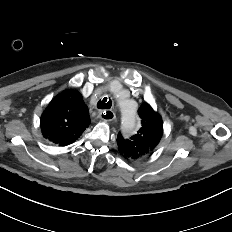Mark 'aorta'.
Wrapping results in <instances>:
<instances>
[{
    "label": "aorta",
    "instance_id": "1",
    "mask_svg": "<svg viewBox=\"0 0 232 232\" xmlns=\"http://www.w3.org/2000/svg\"><path fill=\"white\" fill-rule=\"evenodd\" d=\"M114 96L118 101L121 113L122 129L128 133L134 132L137 127V113L133 104L121 95V91L114 92Z\"/></svg>",
    "mask_w": 232,
    "mask_h": 232
}]
</instances>
